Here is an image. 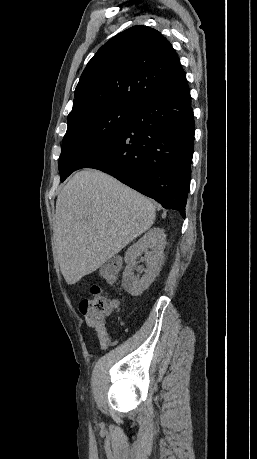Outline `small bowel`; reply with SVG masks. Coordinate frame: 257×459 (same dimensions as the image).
<instances>
[{
	"mask_svg": "<svg viewBox=\"0 0 257 459\" xmlns=\"http://www.w3.org/2000/svg\"><path fill=\"white\" fill-rule=\"evenodd\" d=\"M110 282H114V280H110ZM118 307V302L114 300V305H113V310L115 311ZM84 321L87 326L94 328L95 331L97 332L98 338H99V343H100V349L104 350L108 348L109 346V335L107 332V328L105 323L102 320H97L95 319L92 315H85L84 316Z\"/></svg>",
	"mask_w": 257,
	"mask_h": 459,
	"instance_id": "obj_1",
	"label": "small bowel"
}]
</instances>
